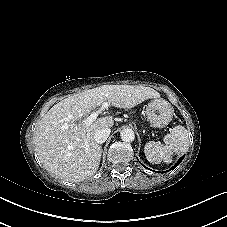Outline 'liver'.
<instances>
[{
  "label": "liver",
  "mask_w": 227,
  "mask_h": 227,
  "mask_svg": "<svg viewBox=\"0 0 227 227\" xmlns=\"http://www.w3.org/2000/svg\"><path fill=\"white\" fill-rule=\"evenodd\" d=\"M159 97L160 94L150 87L108 85L65 98L42 117L34 132L33 142L41 164L64 181L88 179L98 170L102 154L94 134L114 125L112 116L86 124L84 121L91 111L104 103L130 109L147 99Z\"/></svg>",
  "instance_id": "1"
}]
</instances>
